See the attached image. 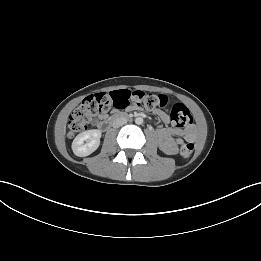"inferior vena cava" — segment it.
Masks as SVG:
<instances>
[{"mask_svg": "<svg viewBox=\"0 0 261 261\" xmlns=\"http://www.w3.org/2000/svg\"><path fill=\"white\" fill-rule=\"evenodd\" d=\"M126 123H127V119L125 117H118V118L114 119L112 125L114 128H118L120 126H123Z\"/></svg>", "mask_w": 261, "mask_h": 261, "instance_id": "inferior-vena-cava-1", "label": "inferior vena cava"}]
</instances>
